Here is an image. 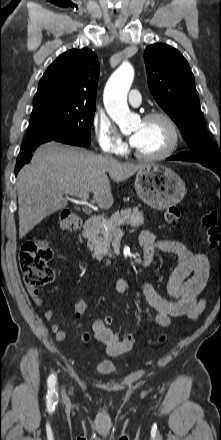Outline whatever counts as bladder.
<instances>
[{"label": "bladder", "mask_w": 221, "mask_h": 440, "mask_svg": "<svg viewBox=\"0 0 221 440\" xmlns=\"http://www.w3.org/2000/svg\"><path fill=\"white\" fill-rule=\"evenodd\" d=\"M116 364L109 360H100L95 365V371L101 375H109L116 371Z\"/></svg>", "instance_id": "31cf9c89"}]
</instances>
